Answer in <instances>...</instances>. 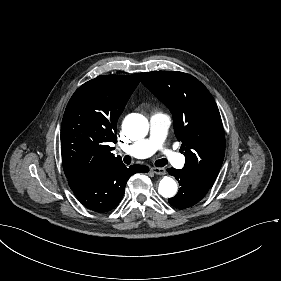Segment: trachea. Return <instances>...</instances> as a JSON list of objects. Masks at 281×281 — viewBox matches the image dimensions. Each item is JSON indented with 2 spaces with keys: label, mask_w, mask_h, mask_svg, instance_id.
<instances>
[{
  "label": "trachea",
  "mask_w": 281,
  "mask_h": 281,
  "mask_svg": "<svg viewBox=\"0 0 281 281\" xmlns=\"http://www.w3.org/2000/svg\"><path fill=\"white\" fill-rule=\"evenodd\" d=\"M131 161H132L131 156L126 155V156L124 157V162H125L126 164H130ZM167 163H168L167 159H160V160H156L155 163H154V165L157 166V167H163V166H165Z\"/></svg>",
  "instance_id": "3493384b"
}]
</instances>
